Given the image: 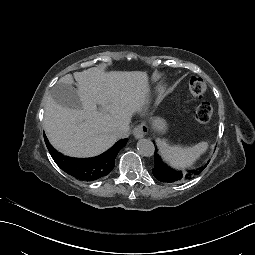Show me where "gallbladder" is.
<instances>
[{
  "label": "gallbladder",
  "instance_id": "1",
  "mask_svg": "<svg viewBox=\"0 0 255 255\" xmlns=\"http://www.w3.org/2000/svg\"><path fill=\"white\" fill-rule=\"evenodd\" d=\"M51 98L60 106L70 109H83L78 90L72 84L58 82L50 90Z\"/></svg>",
  "mask_w": 255,
  "mask_h": 255
}]
</instances>
